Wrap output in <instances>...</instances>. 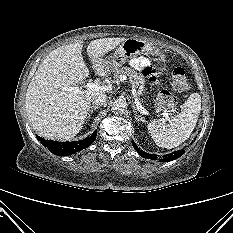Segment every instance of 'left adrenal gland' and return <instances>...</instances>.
<instances>
[{
	"mask_svg": "<svg viewBox=\"0 0 233 233\" xmlns=\"http://www.w3.org/2000/svg\"><path fill=\"white\" fill-rule=\"evenodd\" d=\"M132 107H133V112H134V114H135V119H136L137 121H142V122H144L143 118H142L140 115L137 114L136 107H135L134 105H132Z\"/></svg>",
	"mask_w": 233,
	"mask_h": 233,
	"instance_id": "a2214340",
	"label": "left adrenal gland"
}]
</instances>
